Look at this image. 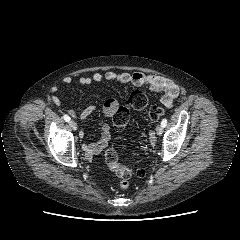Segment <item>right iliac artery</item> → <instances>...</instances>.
Listing matches in <instances>:
<instances>
[{
  "instance_id": "1",
  "label": "right iliac artery",
  "mask_w": 240,
  "mask_h": 240,
  "mask_svg": "<svg viewBox=\"0 0 240 240\" xmlns=\"http://www.w3.org/2000/svg\"><path fill=\"white\" fill-rule=\"evenodd\" d=\"M63 119L66 121V122H69L70 121V117L68 115H64L63 116Z\"/></svg>"
}]
</instances>
